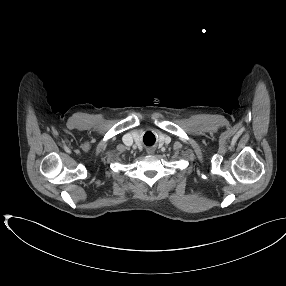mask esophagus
<instances>
[{
  "mask_svg": "<svg viewBox=\"0 0 286 286\" xmlns=\"http://www.w3.org/2000/svg\"><path fill=\"white\" fill-rule=\"evenodd\" d=\"M153 153H154V149H148V150H147V154L151 155V154H153Z\"/></svg>",
  "mask_w": 286,
  "mask_h": 286,
  "instance_id": "1",
  "label": "esophagus"
}]
</instances>
